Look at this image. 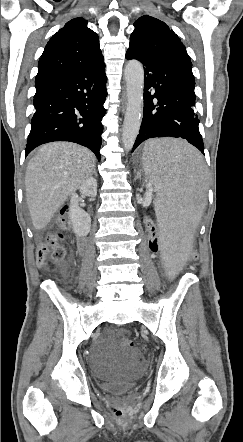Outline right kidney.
I'll use <instances>...</instances> for the list:
<instances>
[{"label": "right kidney", "instance_id": "obj_1", "mask_svg": "<svg viewBox=\"0 0 243 442\" xmlns=\"http://www.w3.org/2000/svg\"><path fill=\"white\" fill-rule=\"evenodd\" d=\"M80 193L88 197H95L97 194V182L90 177L80 186ZM79 196L76 193L71 195L69 204V217L72 228L77 236H86L90 232L91 218L90 215L79 207Z\"/></svg>", "mask_w": 243, "mask_h": 442}]
</instances>
